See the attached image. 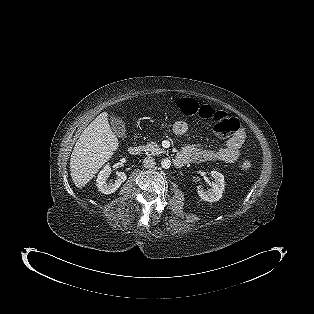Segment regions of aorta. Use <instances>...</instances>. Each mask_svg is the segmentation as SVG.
<instances>
[{
    "mask_svg": "<svg viewBox=\"0 0 314 314\" xmlns=\"http://www.w3.org/2000/svg\"><path fill=\"white\" fill-rule=\"evenodd\" d=\"M170 165H171V162L169 159H167V158L162 159V161H161L162 168L168 169V168H170Z\"/></svg>",
    "mask_w": 314,
    "mask_h": 314,
    "instance_id": "aorta-1",
    "label": "aorta"
}]
</instances>
